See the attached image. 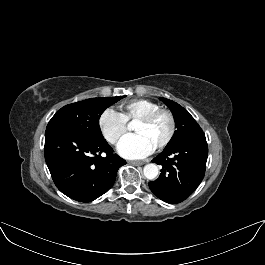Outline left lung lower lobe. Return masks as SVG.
<instances>
[{"instance_id": "obj_1", "label": "left lung lower lobe", "mask_w": 265, "mask_h": 265, "mask_svg": "<svg viewBox=\"0 0 265 265\" xmlns=\"http://www.w3.org/2000/svg\"><path fill=\"white\" fill-rule=\"evenodd\" d=\"M207 156L208 145L204 133L165 147L152 160L161 165L162 169L159 178L149 182L151 191L164 202H182L201 183Z\"/></svg>"}]
</instances>
